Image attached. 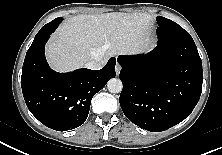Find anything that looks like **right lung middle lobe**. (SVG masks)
Listing matches in <instances>:
<instances>
[{"label": "right lung middle lobe", "instance_id": "obj_1", "mask_svg": "<svg viewBox=\"0 0 222 155\" xmlns=\"http://www.w3.org/2000/svg\"><path fill=\"white\" fill-rule=\"evenodd\" d=\"M61 21H62V17H59V18L54 19V20L51 21L50 23L46 24L45 26H43V27L41 28V30H40V31L37 33V35L35 36L34 41L43 33V31H45V30H47V29H49L50 27H53V26L57 27L58 24H59ZM34 41H33V42H34Z\"/></svg>", "mask_w": 222, "mask_h": 155}]
</instances>
